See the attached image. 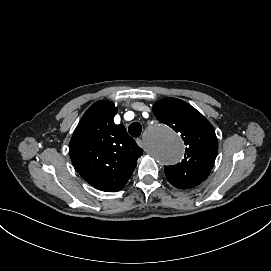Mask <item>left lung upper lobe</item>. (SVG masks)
I'll use <instances>...</instances> for the list:
<instances>
[{"instance_id": "left-lung-upper-lobe-1", "label": "left lung upper lobe", "mask_w": 271, "mask_h": 271, "mask_svg": "<svg viewBox=\"0 0 271 271\" xmlns=\"http://www.w3.org/2000/svg\"><path fill=\"white\" fill-rule=\"evenodd\" d=\"M156 118L181 134L186 145L184 159L165 166L168 181L179 189L199 185L209 175L218 152V141L211 123L188 103L164 98L153 106Z\"/></svg>"}]
</instances>
